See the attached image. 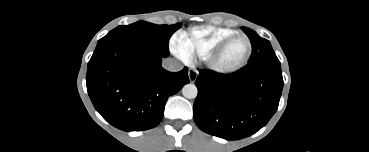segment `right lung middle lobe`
Listing matches in <instances>:
<instances>
[{
    "instance_id": "obj_1",
    "label": "right lung middle lobe",
    "mask_w": 369,
    "mask_h": 152,
    "mask_svg": "<svg viewBox=\"0 0 369 152\" xmlns=\"http://www.w3.org/2000/svg\"><path fill=\"white\" fill-rule=\"evenodd\" d=\"M181 26V23L175 25H156L145 21H138L130 25H121L101 38L97 43V47H101L115 40H129L143 43L159 53L169 55V39Z\"/></svg>"
}]
</instances>
